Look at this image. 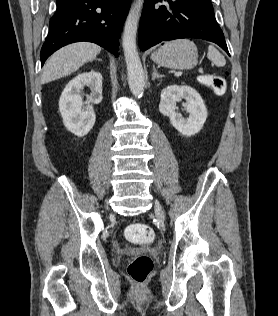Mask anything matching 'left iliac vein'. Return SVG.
Here are the masks:
<instances>
[{"instance_id":"4c4485c4","label":"left iliac vein","mask_w":278,"mask_h":316,"mask_svg":"<svg viewBox=\"0 0 278 316\" xmlns=\"http://www.w3.org/2000/svg\"><path fill=\"white\" fill-rule=\"evenodd\" d=\"M155 215L160 222H164L165 216L161 205L156 202L154 207Z\"/></svg>"}]
</instances>
